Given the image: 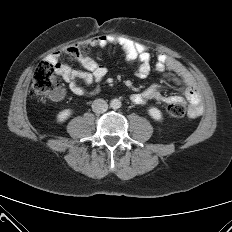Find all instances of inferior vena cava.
<instances>
[{
    "label": "inferior vena cava",
    "mask_w": 232,
    "mask_h": 232,
    "mask_svg": "<svg viewBox=\"0 0 232 232\" xmlns=\"http://www.w3.org/2000/svg\"><path fill=\"white\" fill-rule=\"evenodd\" d=\"M107 109H108V104L103 99H96L92 103V110L96 114H102V113L106 112Z\"/></svg>",
    "instance_id": "602c4592"
}]
</instances>
